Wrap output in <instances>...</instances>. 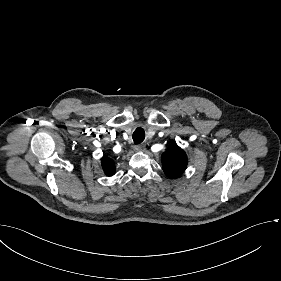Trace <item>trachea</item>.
Listing matches in <instances>:
<instances>
[{
	"instance_id": "obj_1",
	"label": "trachea",
	"mask_w": 281,
	"mask_h": 281,
	"mask_svg": "<svg viewBox=\"0 0 281 281\" xmlns=\"http://www.w3.org/2000/svg\"><path fill=\"white\" fill-rule=\"evenodd\" d=\"M134 144H140L145 139V131L142 128H137L132 135Z\"/></svg>"
}]
</instances>
